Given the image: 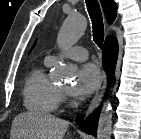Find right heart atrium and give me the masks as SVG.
I'll return each instance as SVG.
<instances>
[{"label":"right heart atrium","instance_id":"obj_1","mask_svg":"<svg viewBox=\"0 0 141 139\" xmlns=\"http://www.w3.org/2000/svg\"><path fill=\"white\" fill-rule=\"evenodd\" d=\"M65 99H66L65 94L61 93V95H60V100H65Z\"/></svg>","mask_w":141,"mask_h":139}]
</instances>
